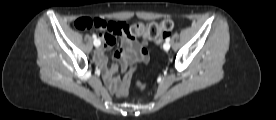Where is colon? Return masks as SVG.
Here are the masks:
<instances>
[{
    "label": "colon",
    "mask_w": 276,
    "mask_h": 120,
    "mask_svg": "<svg viewBox=\"0 0 276 120\" xmlns=\"http://www.w3.org/2000/svg\"><path fill=\"white\" fill-rule=\"evenodd\" d=\"M74 27L78 30L87 29H104L107 26V22L100 18L82 17L78 18L73 23ZM174 28V22L167 18L159 23L145 24L142 22L126 24L123 28V32L127 37H143L150 39L156 43L161 42ZM138 63L134 62L130 66L129 72L124 76L122 81L116 85V96L123 98L128 95L129 85L132 79L134 71L137 69ZM141 89L145 88V85L138 83Z\"/></svg>",
    "instance_id": "colon-1"
}]
</instances>
